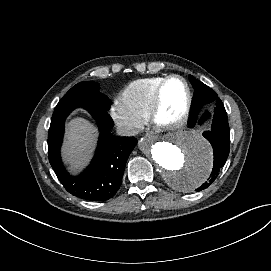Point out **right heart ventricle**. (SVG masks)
Segmentation results:
<instances>
[{"mask_svg":"<svg viewBox=\"0 0 271 271\" xmlns=\"http://www.w3.org/2000/svg\"><path fill=\"white\" fill-rule=\"evenodd\" d=\"M166 75L139 78L128 83L120 93L127 110L142 122L151 116L153 95Z\"/></svg>","mask_w":271,"mask_h":271,"instance_id":"right-heart-ventricle-1","label":"right heart ventricle"}]
</instances>
